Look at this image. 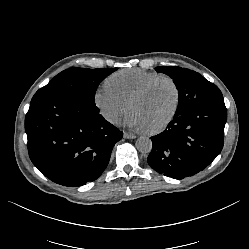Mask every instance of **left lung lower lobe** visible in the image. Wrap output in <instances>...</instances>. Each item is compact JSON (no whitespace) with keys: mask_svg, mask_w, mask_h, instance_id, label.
Instances as JSON below:
<instances>
[{"mask_svg":"<svg viewBox=\"0 0 249 249\" xmlns=\"http://www.w3.org/2000/svg\"><path fill=\"white\" fill-rule=\"evenodd\" d=\"M226 120L224 101L198 105L174 115L162 133L151 137L148 164L175 179L198 173L221 152Z\"/></svg>","mask_w":249,"mask_h":249,"instance_id":"0a47b994","label":"left lung lower lobe"}]
</instances>
